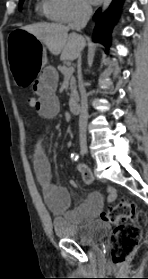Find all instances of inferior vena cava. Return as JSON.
Listing matches in <instances>:
<instances>
[{
  "mask_svg": "<svg viewBox=\"0 0 148 279\" xmlns=\"http://www.w3.org/2000/svg\"><path fill=\"white\" fill-rule=\"evenodd\" d=\"M92 15V8L89 5L81 4L79 5L75 19L73 23L69 25V28L75 31H81L83 29ZM78 67V77H79V87L81 92V110L79 116V132H80V146H86V127L88 121V103H87V94L84 87L81 74V58L78 56L77 61Z\"/></svg>",
  "mask_w": 148,
  "mask_h": 279,
  "instance_id": "obj_1",
  "label": "inferior vena cava"
}]
</instances>
